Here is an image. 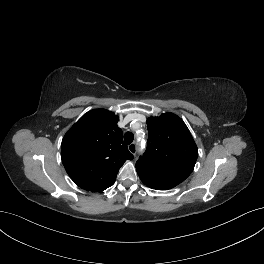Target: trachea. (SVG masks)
I'll return each mask as SVG.
<instances>
[{
	"mask_svg": "<svg viewBox=\"0 0 264 264\" xmlns=\"http://www.w3.org/2000/svg\"><path fill=\"white\" fill-rule=\"evenodd\" d=\"M134 139V135L131 132H126L124 135V140L126 144H131Z\"/></svg>",
	"mask_w": 264,
	"mask_h": 264,
	"instance_id": "trachea-1",
	"label": "trachea"
}]
</instances>
